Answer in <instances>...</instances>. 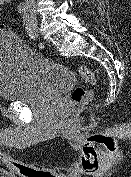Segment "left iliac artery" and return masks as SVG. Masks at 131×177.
<instances>
[{"instance_id": "obj_1", "label": "left iliac artery", "mask_w": 131, "mask_h": 177, "mask_svg": "<svg viewBox=\"0 0 131 177\" xmlns=\"http://www.w3.org/2000/svg\"><path fill=\"white\" fill-rule=\"evenodd\" d=\"M23 22H24V26H25V29L28 33V35L32 38V39H36L37 37V34H36V31H35V28L32 24V21L29 17V15H24L23 17Z\"/></svg>"}]
</instances>
